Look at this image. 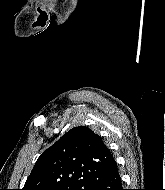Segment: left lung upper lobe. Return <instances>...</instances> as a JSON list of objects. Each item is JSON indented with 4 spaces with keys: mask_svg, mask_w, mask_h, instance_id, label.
<instances>
[{
    "mask_svg": "<svg viewBox=\"0 0 165 190\" xmlns=\"http://www.w3.org/2000/svg\"><path fill=\"white\" fill-rule=\"evenodd\" d=\"M114 163L102 139L78 126L40 155L22 190H92Z\"/></svg>",
    "mask_w": 165,
    "mask_h": 190,
    "instance_id": "left-lung-upper-lobe-1",
    "label": "left lung upper lobe"
}]
</instances>
